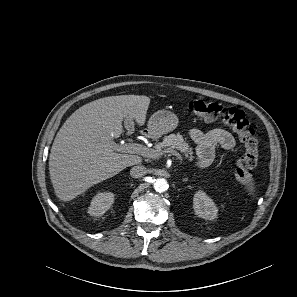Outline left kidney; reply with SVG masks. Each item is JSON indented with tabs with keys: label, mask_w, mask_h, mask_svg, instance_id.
Instances as JSON below:
<instances>
[{
	"label": "left kidney",
	"mask_w": 297,
	"mask_h": 297,
	"mask_svg": "<svg viewBox=\"0 0 297 297\" xmlns=\"http://www.w3.org/2000/svg\"><path fill=\"white\" fill-rule=\"evenodd\" d=\"M193 208L195 213L206 220L217 218L218 208L213 200L203 191H198L193 198Z\"/></svg>",
	"instance_id": "5707ae66"
}]
</instances>
